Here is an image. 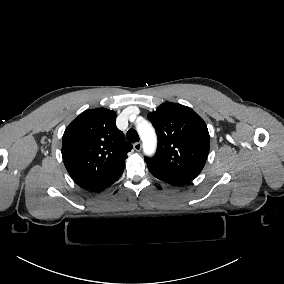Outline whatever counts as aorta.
<instances>
[{
	"instance_id": "obj_1",
	"label": "aorta",
	"mask_w": 284,
	"mask_h": 284,
	"mask_svg": "<svg viewBox=\"0 0 284 284\" xmlns=\"http://www.w3.org/2000/svg\"><path fill=\"white\" fill-rule=\"evenodd\" d=\"M137 132L143 142V151L146 155H153L156 150V133L153 126L145 119H140L136 124Z\"/></svg>"
}]
</instances>
